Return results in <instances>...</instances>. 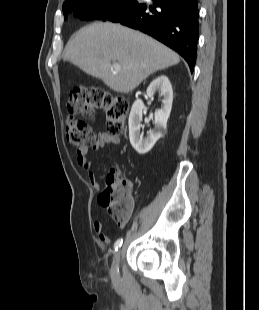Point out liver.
I'll return each mask as SVG.
<instances>
[{
	"mask_svg": "<svg viewBox=\"0 0 259 310\" xmlns=\"http://www.w3.org/2000/svg\"><path fill=\"white\" fill-rule=\"evenodd\" d=\"M63 59L119 93L133 91L149 75L180 62L177 53L152 37L113 23L81 28L67 43ZM112 62L121 69H113Z\"/></svg>",
	"mask_w": 259,
	"mask_h": 310,
	"instance_id": "6515ba94",
	"label": "liver"
}]
</instances>
